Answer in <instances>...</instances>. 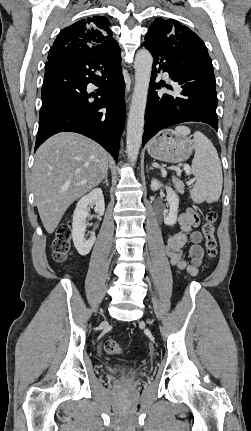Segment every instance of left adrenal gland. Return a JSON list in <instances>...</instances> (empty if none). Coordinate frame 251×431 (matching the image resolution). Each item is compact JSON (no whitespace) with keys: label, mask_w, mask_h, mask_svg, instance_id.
Instances as JSON below:
<instances>
[{"label":"left adrenal gland","mask_w":251,"mask_h":431,"mask_svg":"<svg viewBox=\"0 0 251 431\" xmlns=\"http://www.w3.org/2000/svg\"><path fill=\"white\" fill-rule=\"evenodd\" d=\"M149 169H150V170H152V169H153V167H149Z\"/></svg>","instance_id":"obj_1"}]
</instances>
